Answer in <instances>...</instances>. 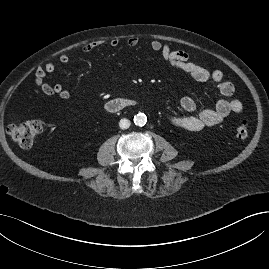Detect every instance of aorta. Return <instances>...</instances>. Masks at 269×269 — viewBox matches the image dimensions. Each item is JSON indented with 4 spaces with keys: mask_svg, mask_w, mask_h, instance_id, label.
<instances>
[{
    "mask_svg": "<svg viewBox=\"0 0 269 269\" xmlns=\"http://www.w3.org/2000/svg\"><path fill=\"white\" fill-rule=\"evenodd\" d=\"M147 122V117L143 113H138L134 116V123L137 126H144Z\"/></svg>",
    "mask_w": 269,
    "mask_h": 269,
    "instance_id": "762f6f07",
    "label": "aorta"
}]
</instances>
